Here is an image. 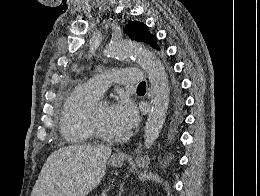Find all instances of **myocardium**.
<instances>
[{"label":"myocardium","mask_w":260,"mask_h":196,"mask_svg":"<svg viewBox=\"0 0 260 196\" xmlns=\"http://www.w3.org/2000/svg\"><path fill=\"white\" fill-rule=\"evenodd\" d=\"M101 104H107V103L105 101H97L96 103H94L92 105L88 118H87V126L89 127V129L92 131V133L94 135H97V136L103 138L104 140L112 141L115 139L114 136L112 134L106 132L102 128H100L95 119L96 111Z\"/></svg>","instance_id":"1"}]
</instances>
